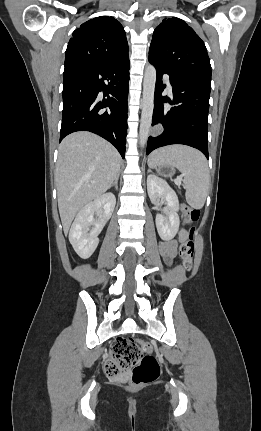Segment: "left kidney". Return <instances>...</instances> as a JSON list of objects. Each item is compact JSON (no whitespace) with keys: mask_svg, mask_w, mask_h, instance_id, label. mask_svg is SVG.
Wrapping results in <instances>:
<instances>
[{"mask_svg":"<svg viewBox=\"0 0 261 431\" xmlns=\"http://www.w3.org/2000/svg\"><path fill=\"white\" fill-rule=\"evenodd\" d=\"M147 191L153 204H156L160 199L166 201L169 208L167 216L157 214L155 221L160 238L169 241L175 237L179 230L178 197L165 180L155 175H149L147 177Z\"/></svg>","mask_w":261,"mask_h":431,"instance_id":"obj_1","label":"left kidney"}]
</instances>
